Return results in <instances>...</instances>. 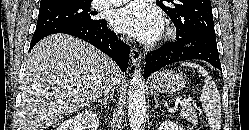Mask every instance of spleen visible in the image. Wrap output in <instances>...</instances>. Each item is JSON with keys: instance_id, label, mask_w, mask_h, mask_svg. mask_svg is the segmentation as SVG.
<instances>
[{"instance_id": "obj_1", "label": "spleen", "mask_w": 249, "mask_h": 130, "mask_svg": "<svg viewBox=\"0 0 249 130\" xmlns=\"http://www.w3.org/2000/svg\"><path fill=\"white\" fill-rule=\"evenodd\" d=\"M183 66H189L197 69L202 76L205 77L203 90L200 95V101L204 109L208 124L213 130H220L221 128V98L215 82L212 80L204 68L198 64L191 62L181 63Z\"/></svg>"}]
</instances>
